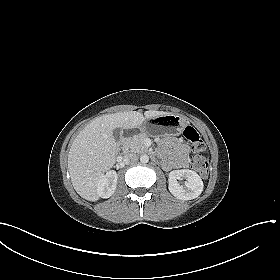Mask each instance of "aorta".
<instances>
[{
  "mask_svg": "<svg viewBox=\"0 0 280 280\" xmlns=\"http://www.w3.org/2000/svg\"><path fill=\"white\" fill-rule=\"evenodd\" d=\"M140 161H141L142 163H148V161H149V156L146 155V154H142V155L140 156Z\"/></svg>",
  "mask_w": 280,
  "mask_h": 280,
  "instance_id": "762f6f07",
  "label": "aorta"
}]
</instances>
